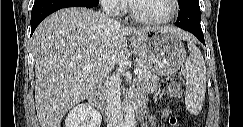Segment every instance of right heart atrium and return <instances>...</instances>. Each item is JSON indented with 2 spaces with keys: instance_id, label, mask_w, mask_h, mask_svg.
<instances>
[{
  "instance_id": "d8ad5b80",
  "label": "right heart atrium",
  "mask_w": 243,
  "mask_h": 127,
  "mask_svg": "<svg viewBox=\"0 0 243 127\" xmlns=\"http://www.w3.org/2000/svg\"><path fill=\"white\" fill-rule=\"evenodd\" d=\"M100 3L103 9L112 15L120 14L124 10L123 0H101Z\"/></svg>"
}]
</instances>
